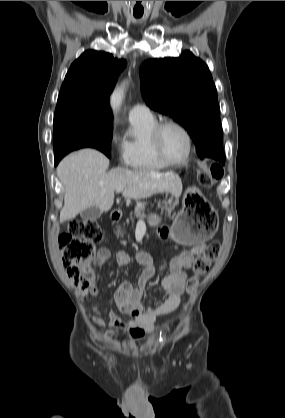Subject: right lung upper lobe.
Returning a JSON list of instances; mask_svg holds the SVG:
<instances>
[{
  "label": "right lung upper lobe",
  "mask_w": 285,
  "mask_h": 418,
  "mask_svg": "<svg viewBox=\"0 0 285 418\" xmlns=\"http://www.w3.org/2000/svg\"><path fill=\"white\" fill-rule=\"evenodd\" d=\"M126 65V60L110 53L85 51L68 70L56 108L80 107L112 115L109 95Z\"/></svg>",
  "instance_id": "right-lung-upper-lobe-1"
}]
</instances>
